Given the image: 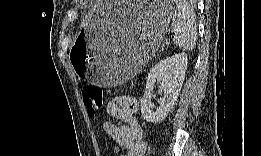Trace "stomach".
<instances>
[{"label": "stomach", "mask_w": 261, "mask_h": 156, "mask_svg": "<svg viewBox=\"0 0 261 156\" xmlns=\"http://www.w3.org/2000/svg\"><path fill=\"white\" fill-rule=\"evenodd\" d=\"M170 18L167 2L100 3L79 30L70 55L78 76L101 87L128 81L155 56Z\"/></svg>", "instance_id": "1"}]
</instances>
